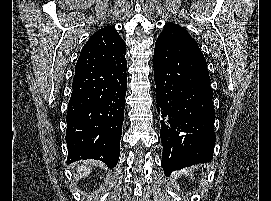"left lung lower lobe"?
Wrapping results in <instances>:
<instances>
[{
    "mask_svg": "<svg viewBox=\"0 0 271 201\" xmlns=\"http://www.w3.org/2000/svg\"><path fill=\"white\" fill-rule=\"evenodd\" d=\"M154 79L165 174L210 162L216 141L213 90L206 60L183 27L156 41Z\"/></svg>",
    "mask_w": 271,
    "mask_h": 201,
    "instance_id": "obj_1",
    "label": "left lung lower lobe"
}]
</instances>
